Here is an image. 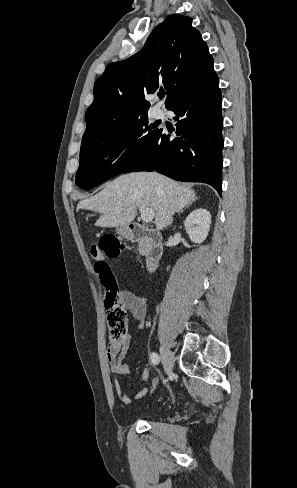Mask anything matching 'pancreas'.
Here are the masks:
<instances>
[{"mask_svg":"<svg viewBox=\"0 0 297 488\" xmlns=\"http://www.w3.org/2000/svg\"><path fill=\"white\" fill-rule=\"evenodd\" d=\"M146 245L145 244H140L138 247V251L143 254L145 251Z\"/></svg>","mask_w":297,"mask_h":488,"instance_id":"cf45deb5","label":"pancreas"}]
</instances>
